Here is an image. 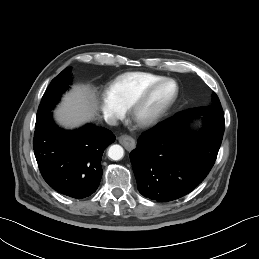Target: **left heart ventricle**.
<instances>
[{"label":"left heart ventricle","instance_id":"1","mask_svg":"<svg viewBox=\"0 0 259 259\" xmlns=\"http://www.w3.org/2000/svg\"><path fill=\"white\" fill-rule=\"evenodd\" d=\"M175 86L167 83L159 87L149 98L147 103L140 109L139 118L145 119L154 114L161 106H163L174 94Z\"/></svg>","mask_w":259,"mask_h":259}]
</instances>
